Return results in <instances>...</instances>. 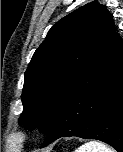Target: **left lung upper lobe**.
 <instances>
[{"instance_id": "1", "label": "left lung upper lobe", "mask_w": 123, "mask_h": 152, "mask_svg": "<svg viewBox=\"0 0 123 152\" xmlns=\"http://www.w3.org/2000/svg\"><path fill=\"white\" fill-rule=\"evenodd\" d=\"M114 32L112 16L96 1L52 26L25 72L19 124L47 135L58 106Z\"/></svg>"}]
</instances>
